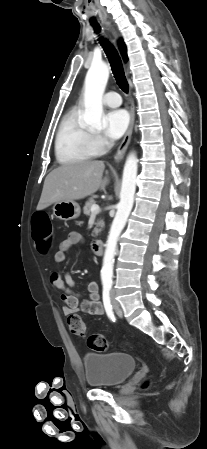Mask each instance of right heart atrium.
<instances>
[{"label": "right heart atrium", "mask_w": 207, "mask_h": 449, "mask_svg": "<svg viewBox=\"0 0 207 449\" xmlns=\"http://www.w3.org/2000/svg\"><path fill=\"white\" fill-rule=\"evenodd\" d=\"M91 143L98 154L104 152L109 146V143L99 134L91 135Z\"/></svg>", "instance_id": "1"}]
</instances>
